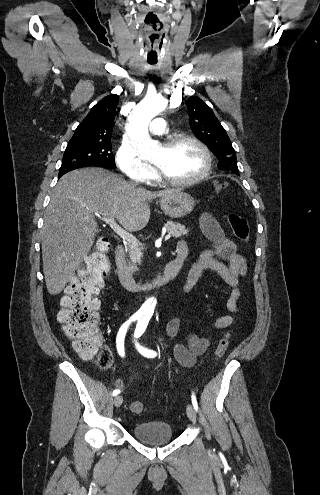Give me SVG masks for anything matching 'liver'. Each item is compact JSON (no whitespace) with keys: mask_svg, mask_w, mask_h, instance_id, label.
I'll return each mask as SVG.
<instances>
[{"mask_svg":"<svg viewBox=\"0 0 320 495\" xmlns=\"http://www.w3.org/2000/svg\"><path fill=\"white\" fill-rule=\"evenodd\" d=\"M176 190L152 193L101 168L63 175L51 195L42 229L43 272L47 290L59 294L90 251L98 225L95 214L114 217L128 231L143 229L149 202Z\"/></svg>","mask_w":320,"mask_h":495,"instance_id":"6515ba94","label":"liver"}]
</instances>
